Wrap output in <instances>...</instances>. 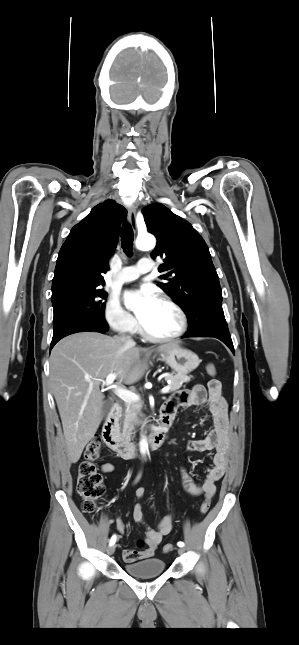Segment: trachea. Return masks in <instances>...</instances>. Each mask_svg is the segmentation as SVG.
<instances>
[{"label":"trachea","instance_id":"obj_1","mask_svg":"<svg viewBox=\"0 0 299 645\" xmlns=\"http://www.w3.org/2000/svg\"><path fill=\"white\" fill-rule=\"evenodd\" d=\"M133 230L129 224H123L121 229V243L126 255H132Z\"/></svg>","mask_w":299,"mask_h":645}]
</instances>
